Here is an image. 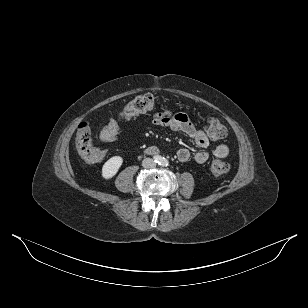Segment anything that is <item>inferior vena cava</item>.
I'll list each match as a JSON object with an SVG mask.
<instances>
[{
  "label": "inferior vena cava",
  "mask_w": 308,
  "mask_h": 308,
  "mask_svg": "<svg viewBox=\"0 0 308 308\" xmlns=\"http://www.w3.org/2000/svg\"><path fill=\"white\" fill-rule=\"evenodd\" d=\"M142 166L144 168H154L156 166V163L152 158H145L142 161Z\"/></svg>",
  "instance_id": "obj_1"
}]
</instances>
